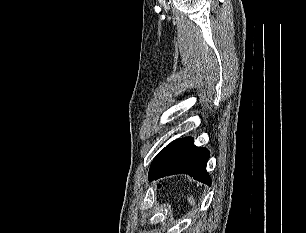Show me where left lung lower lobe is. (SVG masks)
Instances as JSON below:
<instances>
[{"label": "left lung lower lobe", "mask_w": 306, "mask_h": 233, "mask_svg": "<svg viewBox=\"0 0 306 233\" xmlns=\"http://www.w3.org/2000/svg\"><path fill=\"white\" fill-rule=\"evenodd\" d=\"M208 158L209 151L196 147L192 138L175 140L154 158L149 170V179L184 173L211 185V178L206 171Z\"/></svg>", "instance_id": "obj_1"}]
</instances>
